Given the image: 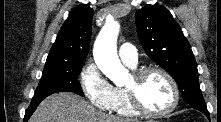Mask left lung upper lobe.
<instances>
[{"label": "left lung upper lobe", "instance_id": "5c2ea615", "mask_svg": "<svg viewBox=\"0 0 221 122\" xmlns=\"http://www.w3.org/2000/svg\"><path fill=\"white\" fill-rule=\"evenodd\" d=\"M135 19L145 52L176 80L183 100L192 107L205 105L193 52L171 13L163 6L147 5L136 11Z\"/></svg>", "mask_w": 221, "mask_h": 122}]
</instances>
